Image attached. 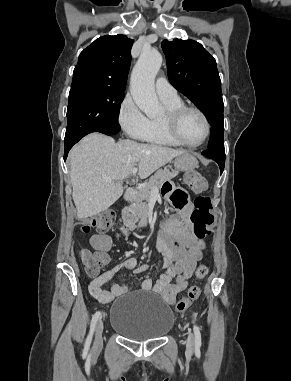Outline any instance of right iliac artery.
I'll return each instance as SVG.
<instances>
[{
	"instance_id": "right-iliac-artery-1",
	"label": "right iliac artery",
	"mask_w": 291,
	"mask_h": 381,
	"mask_svg": "<svg viewBox=\"0 0 291 381\" xmlns=\"http://www.w3.org/2000/svg\"><path fill=\"white\" fill-rule=\"evenodd\" d=\"M100 315H101V313H100V311H98L92 317V321H91V325H90V333L87 337L86 344H85V346L87 348L89 347L90 342L92 340L93 332L95 330L96 323H97L98 319L100 318Z\"/></svg>"
}]
</instances>
